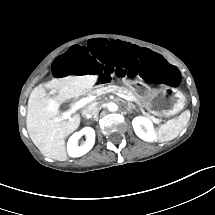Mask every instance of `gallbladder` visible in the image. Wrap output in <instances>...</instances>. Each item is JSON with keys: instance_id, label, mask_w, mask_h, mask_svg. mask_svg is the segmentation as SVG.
<instances>
[{"instance_id": "obj_1", "label": "gallbladder", "mask_w": 215, "mask_h": 215, "mask_svg": "<svg viewBox=\"0 0 215 215\" xmlns=\"http://www.w3.org/2000/svg\"><path fill=\"white\" fill-rule=\"evenodd\" d=\"M45 91H46V92H48V91H49V89H48V88H45Z\"/></svg>"}]
</instances>
